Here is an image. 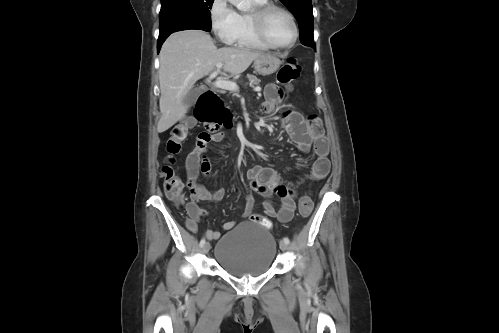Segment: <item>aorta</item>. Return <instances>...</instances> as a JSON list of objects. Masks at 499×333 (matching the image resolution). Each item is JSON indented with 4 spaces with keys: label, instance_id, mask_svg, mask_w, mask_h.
<instances>
[{
    "label": "aorta",
    "instance_id": "762f6f07",
    "mask_svg": "<svg viewBox=\"0 0 499 333\" xmlns=\"http://www.w3.org/2000/svg\"><path fill=\"white\" fill-rule=\"evenodd\" d=\"M240 11H247L251 7V0H228Z\"/></svg>",
    "mask_w": 499,
    "mask_h": 333
}]
</instances>
